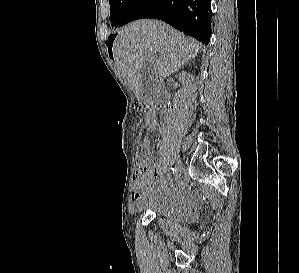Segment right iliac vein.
<instances>
[{
	"label": "right iliac vein",
	"mask_w": 299,
	"mask_h": 273,
	"mask_svg": "<svg viewBox=\"0 0 299 273\" xmlns=\"http://www.w3.org/2000/svg\"><path fill=\"white\" fill-rule=\"evenodd\" d=\"M182 169H183V167H182L181 162H178L177 166H176V170H175L174 183L178 182V180L182 174ZM142 208H143V203L138 206L137 211L140 212L142 210Z\"/></svg>",
	"instance_id": "63e3f726"
}]
</instances>
